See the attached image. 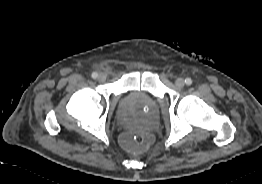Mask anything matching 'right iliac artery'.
<instances>
[{"label": "right iliac artery", "instance_id": "1", "mask_svg": "<svg viewBox=\"0 0 262 184\" xmlns=\"http://www.w3.org/2000/svg\"><path fill=\"white\" fill-rule=\"evenodd\" d=\"M91 76H92V78L96 79V78L98 77V74H97L96 72H93V73L91 74Z\"/></svg>", "mask_w": 262, "mask_h": 184}]
</instances>
